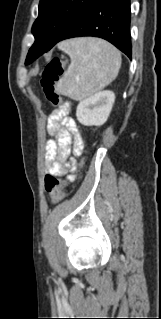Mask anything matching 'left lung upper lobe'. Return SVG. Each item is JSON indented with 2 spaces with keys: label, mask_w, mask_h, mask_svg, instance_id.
Wrapping results in <instances>:
<instances>
[{
  "label": "left lung upper lobe",
  "mask_w": 161,
  "mask_h": 319,
  "mask_svg": "<svg viewBox=\"0 0 161 319\" xmlns=\"http://www.w3.org/2000/svg\"><path fill=\"white\" fill-rule=\"evenodd\" d=\"M97 0H40L39 15L32 26L35 42L28 54L33 62L58 43L72 25Z\"/></svg>",
  "instance_id": "5c2ea615"
}]
</instances>
